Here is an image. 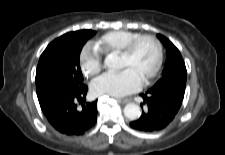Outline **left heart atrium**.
Instances as JSON below:
<instances>
[{
	"label": "left heart atrium",
	"mask_w": 225,
	"mask_h": 155,
	"mask_svg": "<svg viewBox=\"0 0 225 155\" xmlns=\"http://www.w3.org/2000/svg\"><path fill=\"white\" fill-rule=\"evenodd\" d=\"M143 79L131 68L119 72L105 73L91 85L95 96L122 97L137 91L142 86Z\"/></svg>",
	"instance_id": "obj_1"
}]
</instances>
